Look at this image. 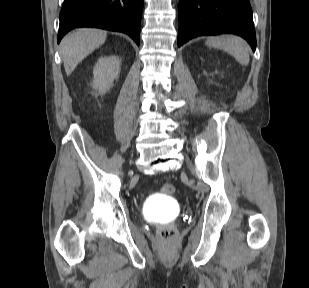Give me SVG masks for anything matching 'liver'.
Returning a JSON list of instances; mask_svg holds the SVG:
<instances>
[{
  "label": "liver",
  "instance_id": "obj_1",
  "mask_svg": "<svg viewBox=\"0 0 309 288\" xmlns=\"http://www.w3.org/2000/svg\"><path fill=\"white\" fill-rule=\"evenodd\" d=\"M107 32L100 29H76L61 42V53L66 74L69 76L76 66L96 48L103 45Z\"/></svg>",
  "mask_w": 309,
  "mask_h": 288
}]
</instances>
